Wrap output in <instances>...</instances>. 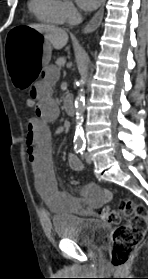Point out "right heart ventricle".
Wrapping results in <instances>:
<instances>
[{"mask_svg":"<svg viewBox=\"0 0 148 279\" xmlns=\"http://www.w3.org/2000/svg\"><path fill=\"white\" fill-rule=\"evenodd\" d=\"M29 10L35 18L48 25H61L66 22L60 0H29Z\"/></svg>","mask_w":148,"mask_h":279,"instance_id":"obj_1","label":"right heart ventricle"}]
</instances>
